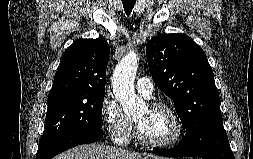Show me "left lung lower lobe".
Listing matches in <instances>:
<instances>
[{
    "label": "left lung lower lobe",
    "instance_id": "0a47b994",
    "mask_svg": "<svg viewBox=\"0 0 253 159\" xmlns=\"http://www.w3.org/2000/svg\"><path fill=\"white\" fill-rule=\"evenodd\" d=\"M166 157H200L203 159H234L222 122H216L199 134L185 136L171 149H154Z\"/></svg>",
    "mask_w": 253,
    "mask_h": 159
}]
</instances>
